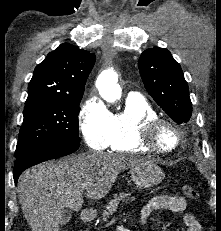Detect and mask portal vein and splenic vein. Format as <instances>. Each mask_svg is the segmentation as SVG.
<instances>
[{
  "label": "portal vein and splenic vein",
  "mask_w": 221,
  "mask_h": 231,
  "mask_svg": "<svg viewBox=\"0 0 221 231\" xmlns=\"http://www.w3.org/2000/svg\"><path fill=\"white\" fill-rule=\"evenodd\" d=\"M86 189V186H82V190Z\"/></svg>",
  "instance_id": "obj_1"
}]
</instances>
